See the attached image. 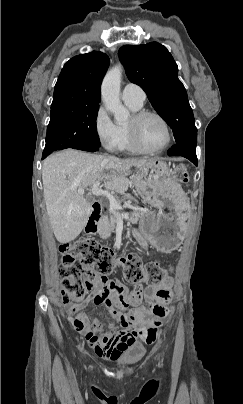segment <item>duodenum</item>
Returning a JSON list of instances; mask_svg holds the SVG:
<instances>
[{
  "instance_id": "410a0bca",
  "label": "duodenum",
  "mask_w": 243,
  "mask_h": 404,
  "mask_svg": "<svg viewBox=\"0 0 243 404\" xmlns=\"http://www.w3.org/2000/svg\"><path fill=\"white\" fill-rule=\"evenodd\" d=\"M101 213V204L94 202L91 208V214L86 225V232L88 234H95L97 231V221Z\"/></svg>"
}]
</instances>
